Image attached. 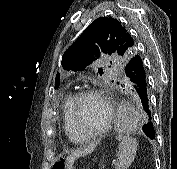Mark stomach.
Wrapping results in <instances>:
<instances>
[{
  "label": "stomach",
  "mask_w": 177,
  "mask_h": 169,
  "mask_svg": "<svg viewBox=\"0 0 177 169\" xmlns=\"http://www.w3.org/2000/svg\"><path fill=\"white\" fill-rule=\"evenodd\" d=\"M52 169H69L65 158L59 156L52 164Z\"/></svg>",
  "instance_id": "obj_1"
}]
</instances>
